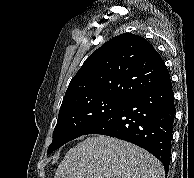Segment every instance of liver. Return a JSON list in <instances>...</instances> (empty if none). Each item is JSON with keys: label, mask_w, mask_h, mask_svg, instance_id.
Returning <instances> with one entry per match:
<instances>
[{"label": "liver", "mask_w": 194, "mask_h": 178, "mask_svg": "<svg viewBox=\"0 0 194 178\" xmlns=\"http://www.w3.org/2000/svg\"><path fill=\"white\" fill-rule=\"evenodd\" d=\"M161 162L144 149L113 137H88L70 149L54 178H164Z\"/></svg>", "instance_id": "1"}]
</instances>
